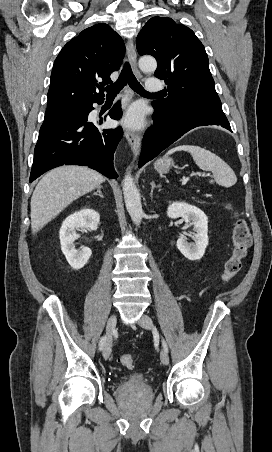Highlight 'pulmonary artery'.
Masks as SVG:
<instances>
[{"instance_id": "obj_1", "label": "pulmonary artery", "mask_w": 272, "mask_h": 452, "mask_svg": "<svg viewBox=\"0 0 272 452\" xmlns=\"http://www.w3.org/2000/svg\"><path fill=\"white\" fill-rule=\"evenodd\" d=\"M164 84L158 78H149L147 80V91L148 92H160L163 90Z\"/></svg>"}]
</instances>
